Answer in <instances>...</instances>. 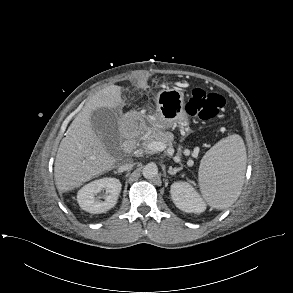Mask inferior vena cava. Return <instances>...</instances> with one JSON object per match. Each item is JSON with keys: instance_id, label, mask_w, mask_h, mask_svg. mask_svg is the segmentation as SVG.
<instances>
[{"instance_id": "obj_1", "label": "inferior vena cava", "mask_w": 293, "mask_h": 293, "mask_svg": "<svg viewBox=\"0 0 293 293\" xmlns=\"http://www.w3.org/2000/svg\"><path fill=\"white\" fill-rule=\"evenodd\" d=\"M133 166H134L133 163H125V164H122L118 170H119V172H124V171L131 169Z\"/></svg>"}]
</instances>
